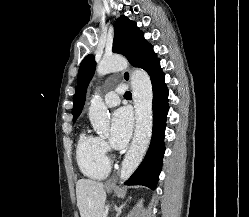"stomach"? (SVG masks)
I'll return each instance as SVG.
<instances>
[{
    "label": "stomach",
    "instance_id": "stomach-1",
    "mask_svg": "<svg viewBox=\"0 0 249 217\" xmlns=\"http://www.w3.org/2000/svg\"><path fill=\"white\" fill-rule=\"evenodd\" d=\"M106 190L108 192H111V191L115 190V186H106Z\"/></svg>",
    "mask_w": 249,
    "mask_h": 217
}]
</instances>
